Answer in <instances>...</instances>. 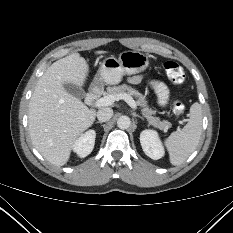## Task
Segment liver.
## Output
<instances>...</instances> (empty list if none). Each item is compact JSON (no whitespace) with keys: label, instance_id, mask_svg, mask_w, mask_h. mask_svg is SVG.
<instances>
[{"label":"liver","instance_id":"6515ba94","mask_svg":"<svg viewBox=\"0 0 233 233\" xmlns=\"http://www.w3.org/2000/svg\"><path fill=\"white\" fill-rule=\"evenodd\" d=\"M88 73L87 62L79 53H73L45 71L30 99L28 127L32 143L55 166L68 162L76 139L95 121L96 111L64 88L65 84L81 87Z\"/></svg>","mask_w":233,"mask_h":233}]
</instances>
